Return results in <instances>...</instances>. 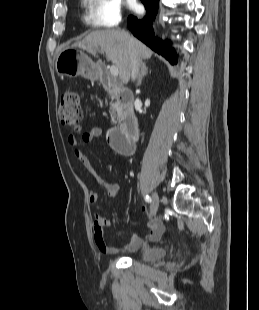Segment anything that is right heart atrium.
I'll return each mask as SVG.
<instances>
[{"instance_id":"right-heart-atrium-1","label":"right heart atrium","mask_w":259,"mask_h":310,"mask_svg":"<svg viewBox=\"0 0 259 310\" xmlns=\"http://www.w3.org/2000/svg\"><path fill=\"white\" fill-rule=\"evenodd\" d=\"M85 7L86 19L95 27L110 28L121 22L120 0H85Z\"/></svg>"}]
</instances>
